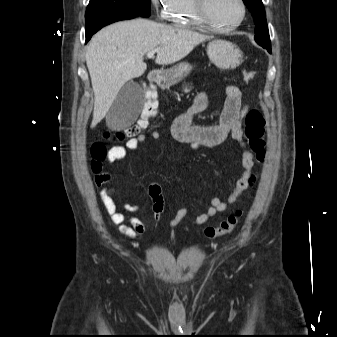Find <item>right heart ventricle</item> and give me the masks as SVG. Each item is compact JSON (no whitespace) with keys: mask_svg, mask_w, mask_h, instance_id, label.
<instances>
[{"mask_svg":"<svg viewBox=\"0 0 337 337\" xmlns=\"http://www.w3.org/2000/svg\"><path fill=\"white\" fill-rule=\"evenodd\" d=\"M169 19L182 27H202L194 8L193 0H174Z\"/></svg>","mask_w":337,"mask_h":337,"instance_id":"obj_1","label":"right heart ventricle"}]
</instances>
